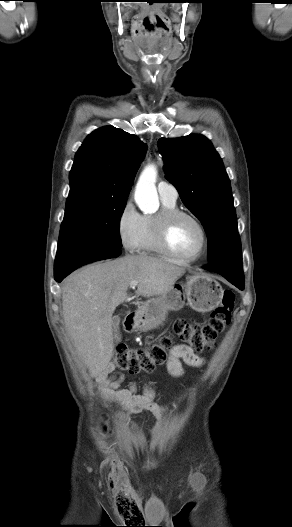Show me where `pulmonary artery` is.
Here are the masks:
<instances>
[{"label": "pulmonary artery", "mask_w": 292, "mask_h": 527, "mask_svg": "<svg viewBox=\"0 0 292 527\" xmlns=\"http://www.w3.org/2000/svg\"><path fill=\"white\" fill-rule=\"evenodd\" d=\"M158 192L161 198L171 201H176L178 198V191L174 185L166 181H160L157 185Z\"/></svg>", "instance_id": "obj_1"}]
</instances>
